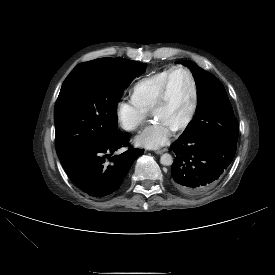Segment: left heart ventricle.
<instances>
[{"label": "left heart ventricle", "instance_id": "1", "mask_svg": "<svg viewBox=\"0 0 275 275\" xmlns=\"http://www.w3.org/2000/svg\"><path fill=\"white\" fill-rule=\"evenodd\" d=\"M192 103V89L188 75L181 70L175 71L169 81L167 100L162 107L152 113L175 129L187 117Z\"/></svg>", "mask_w": 275, "mask_h": 275}]
</instances>
